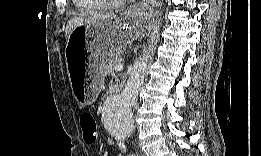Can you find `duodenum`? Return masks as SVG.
Instances as JSON below:
<instances>
[{"instance_id":"1","label":"duodenum","mask_w":261,"mask_h":156,"mask_svg":"<svg viewBox=\"0 0 261 156\" xmlns=\"http://www.w3.org/2000/svg\"><path fill=\"white\" fill-rule=\"evenodd\" d=\"M120 87H121V85H118L117 87L111 88V89H110V93H109V97H110V98H111V97H114V96L117 94V92H118V90H119Z\"/></svg>"}]
</instances>
